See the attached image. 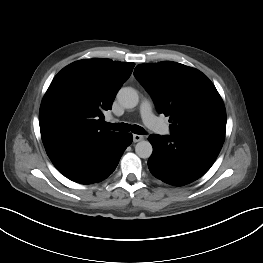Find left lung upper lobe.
I'll return each instance as SVG.
<instances>
[{
  "label": "left lung upper lobe",
  "mask_w": 263,
  "mask_h": 263,
  "mask_svg": "<svg viewBox=\"0 0 263 263\" xmlns=\"http://www.w3.org/2000/svg\"><path fill=\"white\" fill-rule=\"evenodd\" d=\"M134 76L169 116L171 134L224 143L226 111L213 83L199 70L172 61L137 65Z\"/></svg>",
  "instance_id": "left-lung-upper-lobe-1"
}]
</instances>
